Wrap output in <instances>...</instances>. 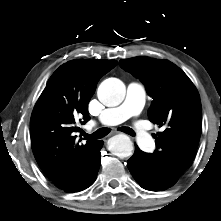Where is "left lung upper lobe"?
<instances>
[{
  "mask_svg": "<svg viewBox=\"0 0 221 221\" xmlns=\"http://www.w3.org/2000/svg\"><path fill=\"white\" fill-rule=\"evenodd\" d=\"M119 63L144 82L153 98L148 117L164 131L154 136L156 150L151 155L163 178L174 185L192 162L199 143L202 108L198 91L170 61L135 57Z\"/></svg>",
  "mask_w": 221,
  "mask_h": 221,
  "instance_id": "1",
  "label": "left lung upper lobe"
}]
</instances>
